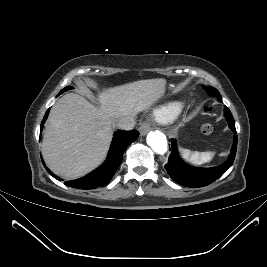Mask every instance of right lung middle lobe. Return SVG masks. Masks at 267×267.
Segmentation results:
<instances>
[{
    "mask_svg": "<svg viewBox=\"0 0 267 267\" xmlns=\"http://www.w3.org/2000/svg\"><path fill=\"white\" fill-rule=\"evenodd\" d=\"M73 87L72 86H67V87H65L60 93H62V92H64V91H67V90H69V89H72Z\"/></svg>",
    "mask_w": 267,
    "mask_h": 267,
    "instance_id": "dd1d6c3e",
    "label": "right lung middle lobe"
}]
</instances>
